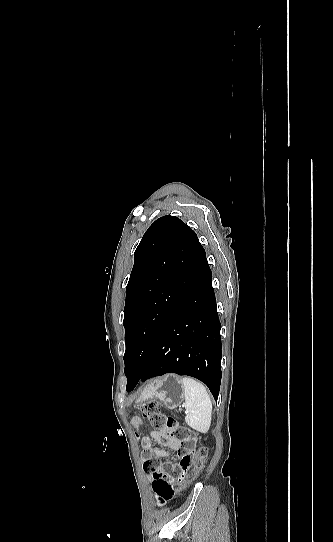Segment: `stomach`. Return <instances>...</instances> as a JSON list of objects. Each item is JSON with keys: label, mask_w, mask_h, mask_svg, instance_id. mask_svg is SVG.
Masks as SVG:
<instances>
[{"label": "stomach", "mask_w": 333, "mask_h": 542, "mask_svg": "<svg viewBox=\"0 0 333 542\" xmlns=\"http://www.w3.org/2000/svg\"><path fill=\"white\" fill-rule=\"evenodd\" d=\"M142 400H159L168 410H176L184 402V392L181 378L175 374H166L163 378L151 380L139 398Z\"/></svg>", "instance_id": "stomach-1"}]
</instances>
